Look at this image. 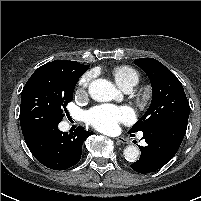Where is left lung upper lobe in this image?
I'll return each instance as SVG.
<instances>
[{
    "instance_id": "obj_1",
    "label": "left lung upper lobe",
    "mask_w": 201,
    "mask_h": 201,
    "mask_svg": "<svg viewBox=\"0 0 201 201\" xmlns=\"http://www.w3.org/2000/svg\"><path fill=\"white\" fill-rule=\"evenodd\" d=\"M149 77L152 85L150 107L130 129L129 133L143 131L151 125L165 120L189 118V103L178 78L162 63L153 58L135 59Z\"/></svg>"
}]
</instances>
